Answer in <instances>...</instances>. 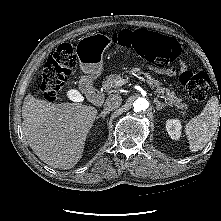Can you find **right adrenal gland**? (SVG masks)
Masks as SVG:
<instances>
[{
	"label": "right adrenal gland",
	"mask_w": 221,
	"mask_h": 221,
	"mask_svg": "<svg viewBox=\"0 0 221 221\" xmlns=\"http://www.w3.org/2000/svg\"><path fill=\"white\" fill-rule=\"evenodd\" d=\"M107 114H109L108 111H102V112L96 117V120H98L99 118H102V119L104 120Z\"/></svg>",
	"instance_id": "right-adrenal-gland-1"
}]
</instances>
